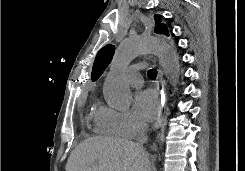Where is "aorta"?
<instances>
[{
  "mask_svg": "<svg viewBox=\"0 0 245 171\" xmlns=\"http://www.w3.org/2000/svg\"><path fill=\"white\" fill-rule=\"evenodd\" d=\"M147 53L158 56L165 75L173 85L178 82L179 57L166 41L153 36L126 38L115 53L103 86V96L109 107L119 111H125L130 107L132 93L123 78V71L137 56Z\"/></svg>",
  "mask_w": 245,
  "mask_h": 171,
  "instance_id": "aorta-1",
  "label": "aorta"
}]
</instances>
